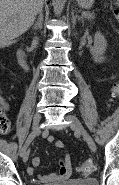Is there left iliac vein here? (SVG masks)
I'll return each instance as SVG.
<instances>
[{"label":"left iliac vein","instance_id":"4c4485c4","mask_svg":"<svg viewBox=\"0 0 119 185\" xmlns=\"http://www.w3.org/2000/svg\"><path fill=\"white\" fill-rule=\"evenodd\" d=\"M66 119L69 121V126L72 130H74L76 133L83 136L85 141L87 142L88 146L93 152H96V144L92 137L88 134V132L84 129L82 124L79 122V120L73 116V115H67Z\"/></svg>","mask_w":119,"mask_h":185}]
</instances>
